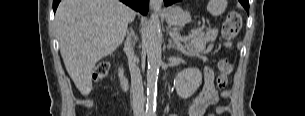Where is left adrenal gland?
I'll use <instances>...</instances> for the list:
<instances>
[{
    "instance_id": "a2214340",
    "label": "left adrenal gland",
    "mask_w": 305,
    "mask_h": 116,
    "mask_svg": "<svg viewBox=\"0 0 305 116\" xmlns=\"http://www.w3.org/2000/svg\"><path fill=\"white\" fill-rule=\"evenodd\" d=\"M167 48L168 49L174 48V49H177L178 51L180 50L179 46H177L173 43L172 38L168 40Z\"/></svg>"
}]
</instances>
